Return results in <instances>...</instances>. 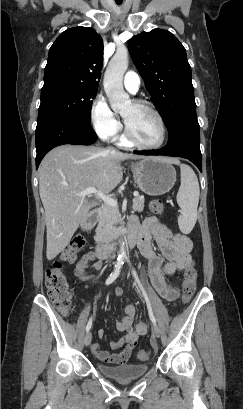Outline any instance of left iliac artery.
<instances>
[{
    "mask_svg": "<svg viewBox=\"0 0 243 409\" xmlns=\"http://www.w3.org/2000/svg\"><path fill=\"white\" fill-rule=\"evenodd\" d=\"M127 262L130 263L128 260H127ZM132 273H133V276L135 277V279H136V281H137V283H138V285H139V287H140V290L142 291V294H143V296H144V299H145V301H146L149 318H150L151 322L153 323V325H156V319H155V316H154V314H153L152 306H151V303H150V301H149L148 295H147V293H146L144 287L142 286V284H141V282H140V280H139V278H138V275H137V273H136V271H135L134 268H132Z\"/></svg>",
    "mask_w": 243,
    "mask_h": 409,
    "instance_id": "obj_1",
    "label": "left iliac artery"
}]
</instances>
